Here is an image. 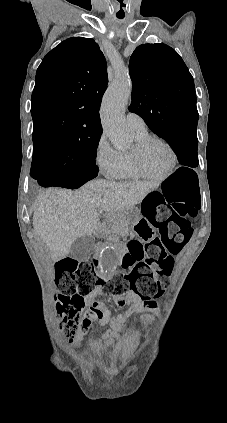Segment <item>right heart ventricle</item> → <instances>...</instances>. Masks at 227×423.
I'll use <instances>...</instances> for the list:
<instances>
[{"label": "right heart ventricle", "mask_w": 227, "mask_h": 423, "mask_svg": "<svg viewBox=\"0 0 227 423\" xmlns=\"http://www.w3.org/2000/svg\"><path fill=\"white\" fill-rule=\"evenodd\" d=\"M130 132V131H129ZM132 138L134 141H138L142 138H144L145 136H147V132H143V133H134V132H130ZM120 158L122 160V174H121V178H136L137 175L135 174L134 170H133V166H132V161H131V157H130V151H121L119 152Z\"/></svg>", "instance_id": "obj_1"}]
</instances>
